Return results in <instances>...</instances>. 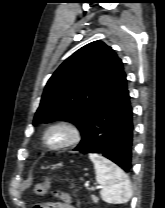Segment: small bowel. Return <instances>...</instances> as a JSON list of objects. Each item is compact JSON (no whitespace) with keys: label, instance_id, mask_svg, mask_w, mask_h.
<instances>
[{"label":"small bowel","instance_id":"small-bowel-1","mask_svg":"<svg viewBox=\"0 0 165 208\" xmlns=\"http://www.w3.org/2000/svg\"><path fill=\"white\" fill-rule=\"evenodd\" d=\"M59 196L63 200L62 202H50V203H45L42 206V208H75L68 197L67 194L65 193H60Z\"/></svg>","mask_w":165,"mask_h":208}]
</instances>
